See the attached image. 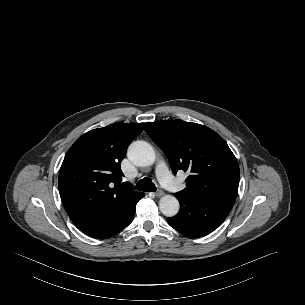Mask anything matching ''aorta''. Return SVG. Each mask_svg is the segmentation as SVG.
<instances>
[{"label":"aorta","mask_w":305,"mask_h":305,"mask_svg":"<svg viewBox=\"0 0 305 305\" xmlns=\"http://www.w3.org/2000/svg\"><path fill=\"white\" fill-rule=\"evenodd\" d=\"M127 156L133 164L141 167L152 165L156 159L153 147L145 141L131 143ZM179 207V201L172 195H164L159 201V209L167 217L175 216Z\"/></svg>","instance_id":"1"}]
</instances>
